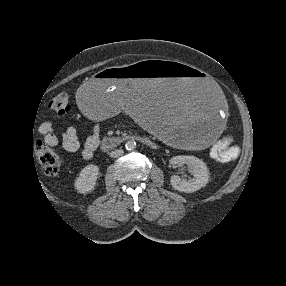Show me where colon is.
<instances>
[{"label":"colon","mask_w":286,"mask_h":286,"mask_svg":"<svg viewBox=\"0 0 286 286\" xmlns=\"http://www.w3.org/2000/svg\"><path fill=\"white\" fill-rule=\"evenodd\" d=\"M49 107L59 116L67 115L71 110L70 98L67 94H59L51 100ZM233 139V135L229 134L219 140L212 148L213 156L220 160H229L232 157L229 149ZM35 154L46 175H57L62 159L56 151L42 143H37Z\"/></svg>","instance_id":"colon-1"}]
</instances>
